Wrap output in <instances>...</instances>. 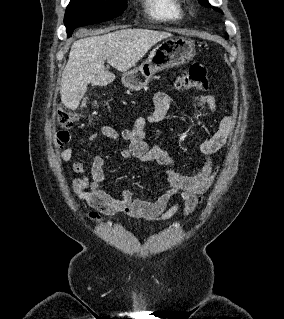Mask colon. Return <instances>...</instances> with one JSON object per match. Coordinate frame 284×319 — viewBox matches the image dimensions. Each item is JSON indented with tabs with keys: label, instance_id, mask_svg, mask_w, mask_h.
<instances>
[{
	"label": "colon",
	"instance_id": "5ec220e1",
	"mask_svg": "<svg viewBox=\"0 0 284 319\" xmlns=\"http://www.w3.org/2000/svg\"><path fill=\"white\" fill-rule=\"evenodd\" d=\"M175 85L185 90L207 91L209 82L204 65L199 62L191 64L175 79ZM78 120L79 114L75 112L58 111L56 115L57 124L64 130L70 129Z\"/></svg>",
	"mask_w": 284,
	"mask_h": 319
}]
</instances>
